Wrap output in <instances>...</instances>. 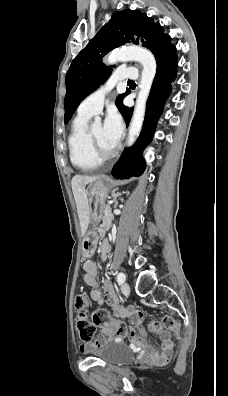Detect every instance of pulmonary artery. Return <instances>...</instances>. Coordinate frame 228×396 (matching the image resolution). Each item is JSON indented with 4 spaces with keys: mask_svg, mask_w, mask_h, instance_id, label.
Here are the masks:
<instances>
[{
    "mask_svg": "<svg viewBox=\"0 0 228 396\" xmlns=\"http://www.w3.org/2000/svg\"><path fill=\"white\" fill-rule=\"evenodd\" d=\"M138 71L136 68L127 67L117 71L105 84L88 95L79 105L78 112L81 114L94 115L101 111L106 94L112 90L116 83L136 79Z\"/></svg>",
    "mask_w": 228,
    "mask_h": 396,
    "instance_id": "obj_1",
    "label": "pulmonary artery"
}]
</instances>
